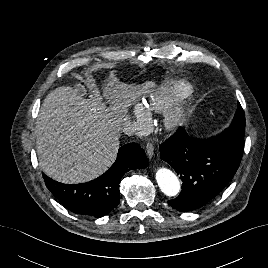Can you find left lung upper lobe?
Segmentation results:
<instances>
[{
  "label": "left lung upper lobe",
  "instance_id": "obj_1",
  "mask_svg": "<svg viewBox=\"0 0 268 268\" xmlns=\"http://www.w3.org/2000/svg\"><path fill=\"white\" fill-rule=\"evenodd\" d=\"M244 132H245V116L244 111L240 104H238V109L235 117L230 125L225 131L216 137L220 142L228 144L229 146L243 152L244 149Z\"/></svg>",
  "mask_w": 268,
  "mask_h": 268
}]
</instances>
